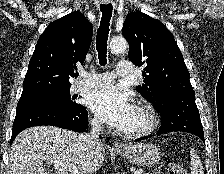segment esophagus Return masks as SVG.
I'll return each mask as SVG.
<instances>
[{
    "label": "esophagus",
    "mask_w": 224,
    "mask_h": 174,
    "mask_svg": "<svg viewBox=\"0 0 224 174\" xmlns=\"http://www.w3.org/2000/svg\"><path fill=\"white\" fill-rule=\"evenodd\" d=\"M103 1H104V3H109L110 2V0H103ZM125 148H126L125 145L121 142H114L112 144V149H115V150L125 149Z\"/></svg>",
    "instance_id": "34e87169"
}]
</instances>
